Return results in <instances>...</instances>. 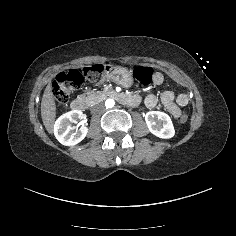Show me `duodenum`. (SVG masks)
<instances>
[{
    "mask_svg": "<svg viewBox=\"0 0 236 236\" xmlns=\"http://www.w3.org/2000/svg\"><path fill=\"white\" fill-rule=\"evenodd\" d=\"M108 96L115 98L120 103L133 107L138 106L140 103L139 97L135 95H125L120 92L110 91L108 92ZM70 107L75 112H82L85 110L86 103L82 98H76L71 102Z\"/></svg>",
    "mask_w": 236,
    "mask_h": 236,
    "instance_id": "410a0bca",
    "label": "duodenum"
}]
</instances>
